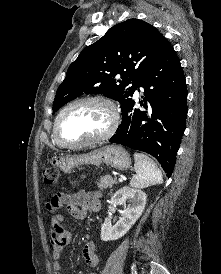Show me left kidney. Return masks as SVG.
Wrapping results in <instances>:
<instances>
[{"label": "left kidney", "mask_w": 221, "mask_h": 274, "mask_svg": "<svg viewBox=\"0 0 221 274\" xmlns=\"http://www.w3.org/2000/svg\"><path fill=\"white\" fill-rule=\"evenodd\" d=\"M146 194L137 189L123 187L111 198V206H124L123 216L112 226L111 219L106 218L101 226V240L112 241L123 237L142 215L146 205ZM126 202L129 205L126 207Z\"/></svg>", "instance_id": "1"}]
</instances>
